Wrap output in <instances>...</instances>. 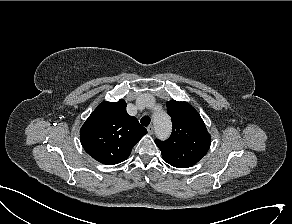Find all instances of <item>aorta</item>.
I'll list each match as a JSON object with an SVG mask.
<instances>
[{
    "mask_svg": "<svg viewBox=\"0 0 292 224\" xmlns=\"http://www.w3.org/2000/svg\"><path fill=\"white\" fill-rule=\"evenodd\" d=\"M153 124L157 137L166 139L172 129L170 117L162 110H157L153 113Z\"/></svg>",
    "mask_w": 292,
    "mask_h": 224,
    "instance_id": "762f6f07",
    "label": "aorta"
}]
</instances>
